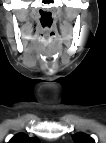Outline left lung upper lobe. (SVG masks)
<instances>
[{"label": "left lung upper lobe", "mask_w": 106, "mask_h": 143, "mask_svg": "<svg viewBox=\"0 0 106 143\" xmlns=\"http://www.w3.org/2000/svg\"><path fill=\"white\" fill-rule=\"evenodd\" d=\"M73 140L75 143H94V140L84 133H76L72 135Z\"/></svg>", "instance_id": "5c2ea615"}]
</instances>
